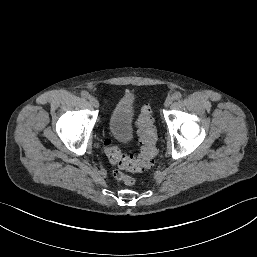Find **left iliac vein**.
<instances>
[{"mask_svg":"<svg viewBox=\"0 0 257 257\" xmlns=\"http://www.w3.org/2000/svg\"><path fill=\"white\" fill-rule=\"evenodd\" d=\"M172 102H173V97L172 96H168L166 98V100H165L164 106L168 107V106H170L172 104Z\"/></svg>","mask_w":257,"mask_h":257,"instance_id":"1","label":"left iliac vein"}]
</instances>
